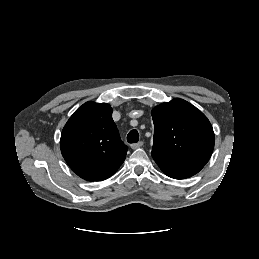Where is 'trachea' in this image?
<instances>
[{"mask_svg": "<svg viewBox=\"0 0 259 259\" xmlns=\"http://www.w3.org/2000/svg\"><path fill=\"white\" fill-rule=\"evenodd\" d=\"M128 143H137L139 141V133L137 130H131L127 135Z\"/></svg>", "mask_w": 259, "mask_h": 259, "instance_id": "3493384b", "label": "trachea"}]
</instances>
